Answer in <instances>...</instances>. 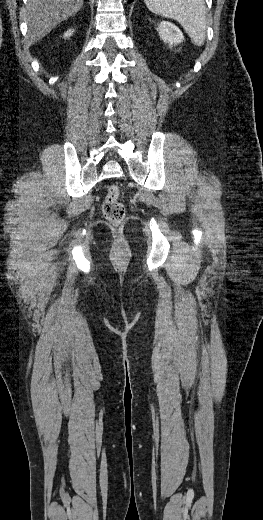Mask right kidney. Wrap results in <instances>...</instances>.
Masks as SVG:
<instances>
[{"label":"right kidney","instance_id":"obj_1","mask_svg":"<svg viewBox=\"0 0 263 520\" xmlns=\"http://www.w3.org/2000/svg\"><path fill=\"white\" fill-rule=\"evenodd\" d=\"M74 33L73 29H69L64 33V38H69Z\"/></svg>","mask_w":263,"mask_h":520}]
</instances>
